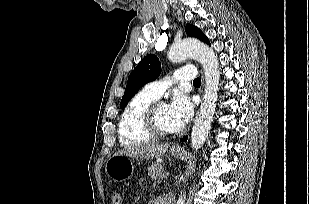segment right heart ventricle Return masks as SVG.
Returning a JSON list of instances; mask_svg holds the SVG:
<instances>
[{"mask_svg":"<svg viewBox=\"0 0 309 204\" xmlns=\"http://www.w3.org/2000/svg\"><path fill=\"white\" fill-rule=\"evenodd\" d=\"M157 98L144 90L133 96L124 108L118 125V134L121 145L133 146L147 143L151 140L141 124L144 110Z\"/></svg>","mask_w":309,"mask_h":204,"instance_id":"right-heart-ventricle-1","label":"right heart ventricle"}]
</instances>
